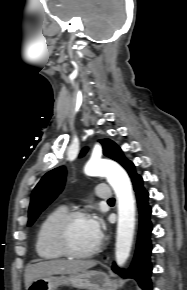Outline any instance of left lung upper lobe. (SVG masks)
Wrapping results in <instances>:
<instances>
[{"label":"left lung upper lobe","mask_w":187,"mask_h":290,"mask_svg":"<svg viewBox=\"0 0 187 290\" xmlns=\"http://www.w3.org/2000/svg\"><path fill=\"white\" fill-rule=\"evenodd\" d=\"M100 142L103 145L104 155L120 163L127 170L133 182L139 175L135 172L134 164L124 157L120 147L108 139ZM86 151L87 148L82 151L81 155H84ZM65 175V168L58 167L44 175L36 185L31 196L28 226H31L39 214L61 193Z\"/></svg>","instance_id":"5c2ea615"}]
</instances>
